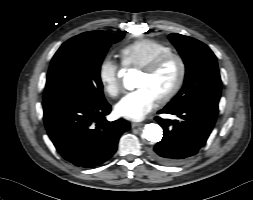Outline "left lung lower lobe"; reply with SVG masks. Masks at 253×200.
Returning a JSON list of instances; mask_svg holds the SVG:
<instances>
[{
  "label": "left lung lower lobe",
  "mask_w": 253,
  "mask_h": 200,
  "mask_svg": "<svg viewBox=\"0 0 253 200\" xmlns=\"http://www.w3.org/2000/svg\"><path fill=\"white\" fill-rule=\"evenodd\" d=\"M159 113L176 115L179 119L155 118L164 136L150 150V156L160 163L175 165L205 145L216 121L218 103L203 101L180 108L165 107Z\"/></svg>",
  "instance_id": "0a47b994"
}]
</instances>
